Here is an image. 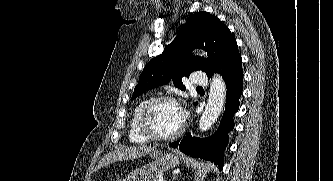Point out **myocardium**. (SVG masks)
Returning <instances> with one entry per match:
<instances>
[{
  "mask_svg": "<svg viewBox=\"0 0 333 181\" xmlns=\"http://www.w3.org/2000/svg\"><path fill=\"white\" fill-rule=\"evenodd\" d=\"M164 102L174 103L179 106V103L176 98L169 95L157 96L149 99L144 105L143 109L139 115V129L144 136L154 141H169L179 137L183 130L184 126L181 124L180 128L175 132L167 135H162L157 133L150 123V116L157 105Z\"/></svg>",
  "mask_w": 333,
  "mask_h": 181,
  "instance_id": "1",
  "label": "myocardium"
}]
</instances>
